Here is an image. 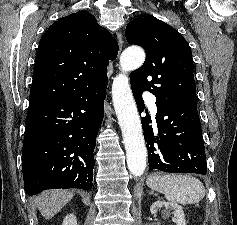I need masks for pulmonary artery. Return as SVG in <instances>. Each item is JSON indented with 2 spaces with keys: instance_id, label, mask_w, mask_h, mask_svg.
I'll use <instances>...</instances> for the list:
<instances>
[{
  "instance_id": "e3ab8cb5",
  "label": "pulmonary artery",
  "mask_w": 237,
  "mask_h": 225,
  "mask_svg": "<svg viewBox=\"0 0 237 225\" xmlns=\"http://www.w3.org/2000/svg\"><path fill=\"white\" fill-rule=\"evenodd\" d=\"M146 101L148 106L150 107L151 111L155 113L157 111L156 105H155V98L151 95H148L146 97Z\"/></svg>"
}]
</instances>
